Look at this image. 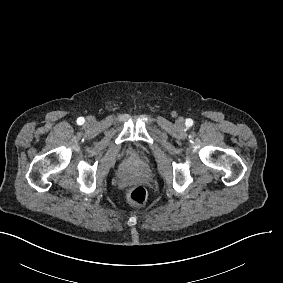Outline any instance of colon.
Listing matches in <instances>:
<instances>
[{
	"label": "colon",
	"instance_id": "1",
	"mask_svg": "<svg viewBox=\"0 0 283 283\" xmlns=\"http://www.w3.org/2000/svg\"><path fill=\"white\" fill-rule=\"evenodd\" d=\"M127 197L132 205L140 206L146 202L148 194L144 187L136 186L128 192Z\"/></svg>",
	"mask_w": 283,
	"mask_h": 283
}]
</instances>
